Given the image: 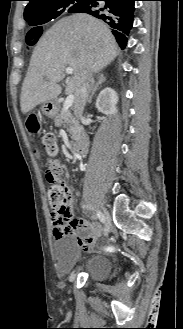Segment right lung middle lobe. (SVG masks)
Instances as JSON below:
<instances>
[{
	"mask_svg": "<svg viewBox=\"0 0 183 329\" xmlns=\"http://www.w3.org/2000/svg\"><path fill=\"white\" fill-rule=\"evenodd\" d=\"M83 0H64L52 5L51 9L43 15L24 18L31 26L42 25L53 18L58 17L62 13H72L82 5ZM42 28L40 26L34 28L33 35H40Z\"/></svg>",
	"mask_w": 183,
	"mask_h": 329,
	"instance_id": "obj_1",
	"label": "right lung middle lobe"
}]
</instances>
